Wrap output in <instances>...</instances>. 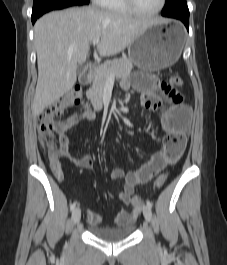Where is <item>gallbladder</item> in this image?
Returning <instances> with one entry per match:
<instances>
[{"label":"gallbladder","instance_id":"gallbladder-1","mask_svg":"<svg viewBox=\"0 0 227 265\" xmlns=\"http://www.w3.org/2000/svg\"><path fill=\"white\" fill-rule=\"evenodd\" d=\"M83 65H78L77 66V74H80L83 71Z\"/></svg>","mask_w":227,"mask_h":265}]
</instances>
